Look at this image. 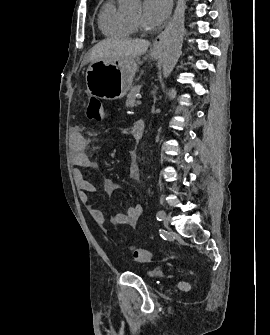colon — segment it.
Returning a JSON list of instances; mask_svg holds the SVG:
<instances>
[{
  "mask_svg": "<svg viewBox=\"0 0 270 335\" xmlns=\"http://www.w3.org/2000/svg\"><path fill=\"white\" fill-rule=\"evenodd\" d=\"M108 112L104 107V103L98 97H90L88 107L86 109L87 118L90 121L102 122L106 118ZM132 258L141 263H146L150 260V253L147 249L141 247H129Z\"/></svg>",
  "mask_w": 270,
  "mask_h": 335,
  "instance_id": "obj_1",
  "label": "colon"
}]
</instances>
